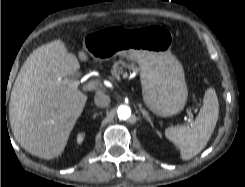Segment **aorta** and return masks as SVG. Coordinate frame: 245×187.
<instances>
[{"mask_svg":"<svg viewBox=\"0 0 245 187\" xmlns=\"http://www.w3.org/2000/svg\"><path fill=\"white\" fill-rule=\"evenodd\" d=\"M119 119L126 120L131 116V109L126 105H121L117 109Z\"/></svg>","mask_w":245,"mask_h":187,"instance_id":"aorta-1","label":"aorta"}]
</instances>
